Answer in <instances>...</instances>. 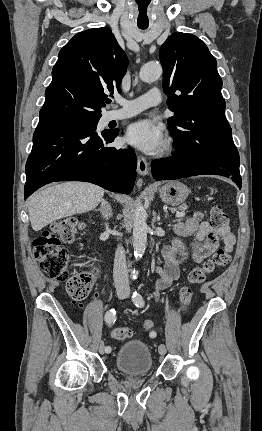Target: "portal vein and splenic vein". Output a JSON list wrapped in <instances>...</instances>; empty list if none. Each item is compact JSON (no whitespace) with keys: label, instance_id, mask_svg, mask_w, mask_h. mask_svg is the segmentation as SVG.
Wrapping results in <instances>:
<instances>
[{"label":"portal vein and splenic vein","instance_id":"obj_1","mask_svg":"<svg viewBox=\"0 0 262 431\" xmlns=\"http://www.w3.org/2000/svg\"><path fill=\"white\" fill-rule=\"evenodd\" d=\"M184 215H185L184 212H178V213H176V218L184 217Z\"/></svg>","mask_w":262,"mask_h":431}]
</instances>
